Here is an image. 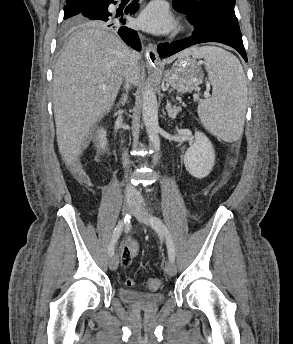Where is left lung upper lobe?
Here are the masks:
<instances>
[{"label":"left lung upper lobe","instance_id":"left-lung-upper-lobe-1","mask_svg":"<svg viewBox=\"0 0 293 344\" xmlns=\"http://www.w3.org/2000/svg\"><path fill=\"white\" fill-rule=\"evenodd\" d=\"M173 7L194 18L200 25L222 28L242 38L234 12L235 0H173Z\"/></svg>","mask_w":293,"mask_h":344}]
</instances>
